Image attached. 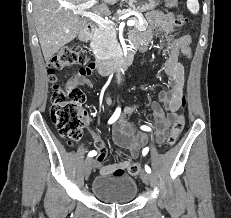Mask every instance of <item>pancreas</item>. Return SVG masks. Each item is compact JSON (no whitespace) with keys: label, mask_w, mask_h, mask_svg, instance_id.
<instances>
[{"label":"pancreas","mask_w":231,"mask_h":218,"mask_svg":"<svg viewBox=\"0 0 231 218\" xmlns=\"http://www.w3.org/2000/svg\"><path fill=\"white\" fill-rule=\"evenodd\" d=\"M131 9H123L117 11V15H123ZM141 16V15H140ZM142 17V16H141ZM135 21V29L145 31L148 28V23L142 18V23L137 17L132 18ZM116 39V29L114 25H107L105 27L98 26L91 38L93 48L97 49L99 53H105L113 50V43Z\"/></svg>","instance_id":"obj_1"}]
</instances>
